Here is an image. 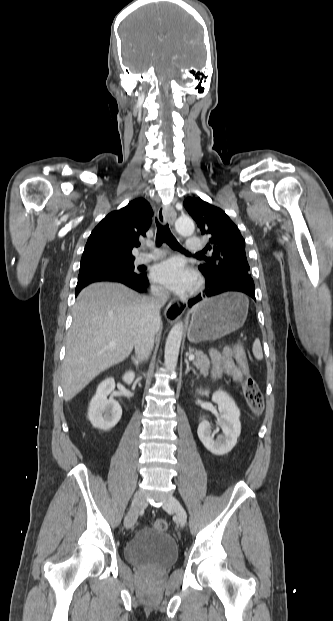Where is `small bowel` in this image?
<instances>
[{
    "label": "small bowel",
    "mask_w": 333,
    "mask_h": 621,
    "mask_svg": "<svg viewBox=\"0 0 333 621\" xmlns=\"http://www.w3.org/2000/svg\"><path fill=\"white\" fill-rule=\"evenodd\" d=\"M212 371L211 376L213 379H219L223 375H228L238 383H242V372L237 368L234 361L231 359L228 351L211 352Z\"/></svg>",
    "instance_id": "small-bowel-1"
}]
</instances>
